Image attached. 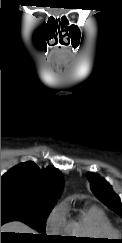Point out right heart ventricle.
<instances>
[{"mask_svg": "<svg viewBox=\"0 0 122 243\" xmlns=\"http://www.w3.org/2000/svg\"><path fill=\"white\" fill-rule=\"evenodd\" d=\"M64 232L75 237L95 239H109L116 235L111 221L97 206L85 208L76 217L66 220Z\"/></svg>", "mask_w": 122, "mask_h": 243, "instance_id": "e07e8e85", "label": "right heart ventricle"}]
</instances>
